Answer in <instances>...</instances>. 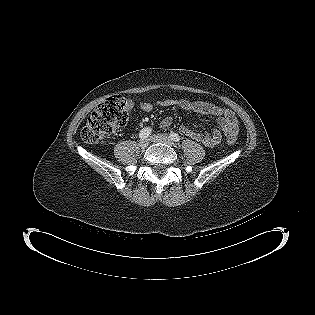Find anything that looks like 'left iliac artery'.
<instances>
[{"label": "left iliac artery", "mask_w": 315, "mask_h": 315, "mask_svg": "<svg viewBox=\"0 0 315 315\" xmlns=\"http://www.w3.org/2000/svg\"><path fill=\"white\" fill-rule=\"evenodd\" d=\"M170 138L175 142H180V136L177 133H170Z\"/></svg>", "instance_id": "1"}]
</instances>
